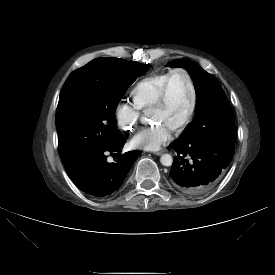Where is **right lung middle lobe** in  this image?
I'll return each mask as SVG.
<instances>
[{"mask_svg":"<svg viewBox=\"0 0 275 275\" xmlns=\"http://www.w3.org/2000/svg\"><path fill=\"white\" fill-rule=\"evenodd\" d=\"M149 64L100 57L75 70L65 81L56 111L61 158L100 150L122 136L115 110L127 88Z\"/></svg>","mask_w":275,"mask_h":275,"instance_id":"right-lung-middle-lobe-1","label":"right lung middle lobe"}]
</instances>
